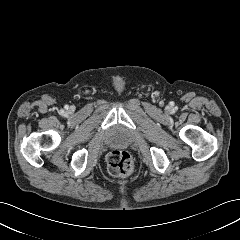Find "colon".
<instances>
[{"label": "colon", "mask_w": 240, "mask_h": 240, "mask_svg": "<svg viewBox=\"0 0 240 240\" xmlns=\"http://www.w3.org/2000/svg\"><path fill=\"white\" fill-rule=\"evenodd\" d=\"M107 166L111 175L126 177L134 170V160L127 151L114 150L107 157Z\"/></svg>", "instance_id": "colon-1"}]
</instances>
